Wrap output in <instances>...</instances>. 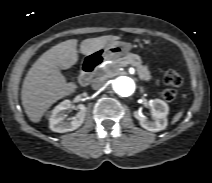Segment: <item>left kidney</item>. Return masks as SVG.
Listing matches in <instances>:
<instances>
[{
	"mask_svg": "<svg viewBox=\"0 0 212 183\" xmlns=\"http://www.w3.org/2000/svg\"><path fill=\"white\" fill-rule=\"evenodd\" d=\"M151 107L154 110V120L150 121L138 111L134 112V117L139 121L141 127L152 132L164 130L167 126L168 105L161 99H154Z\"/></svg>",
	"mask_w": 212,
	"mask_h": 183,
	"instance_id": "5707ae66",
	"label": "left kidney"
}]
</instances>
